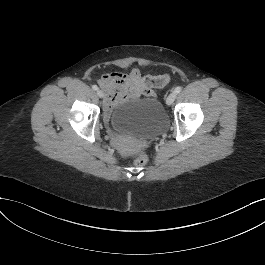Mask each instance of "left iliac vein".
I'll return each instance as SVG.
<instances>
[{"mask_svg": "<svg viewBox=\"0 0 265 265\" xmlns=\"http://www.w3.org/2000/svg\"><path fill=\"white\" fill-rule=\"evenodd\" d=\"M177 94L175 92H172L169 94V96L166 99V104L170 106L176 99Z\"/></svg>", "mask_w": 265, "mask_h": 265, "instance_id": "4c4485c4", "label": "left iliac vein"}]
</instances>
